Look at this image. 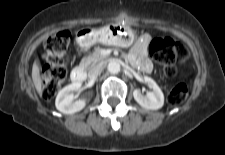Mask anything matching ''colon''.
<instances>
[{"label":"colon","mask_w":225,"mask_h":155,"mask_svg":"<svg viewBox=\"0 0 225 155\" xmlns=\"http://www.w3.org/2000/svg\"><path fill=\"white\" fill-rule=\"evenodd\" d=\"M71 36L68 31H59L50 36L44 44V66L42 69V97L52 99L68 75L66 65L67 51ZM149 53L158 62L167 77L177 74V64L189 57L188 48L169 37L155 38L149 43ZM188 88L185 83L177 81L168 95V103L172 106L181 104L187 97Z\"/></svg>","instance_id":"5ec220e1"}]
</instances>
